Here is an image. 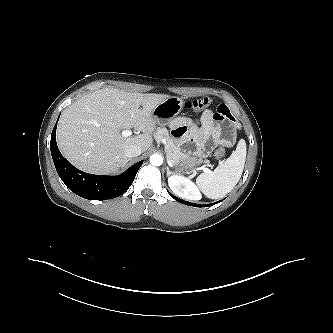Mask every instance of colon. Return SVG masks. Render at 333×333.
Wrapping results in <instances>:
<instances>
[{"instance_id":"5ec220e1","label":"colon","mask_w":333,"mask_h":333,"mask_svg":"<svg viewBox=\"0 0 333 333\" xmlns=\"http://www.w3.org/2000/svg\"><path fill=\"white\" fill-rule=\"evenodd\" d=\"M211 103H212V101L209 97L202 96V97H198V98L188 101L186 103V107L191 110L199 111V110L209 107L211 105ZM225 155H226V151L224 148H219L214 152V157L217 160L223 159L225 157Z\"/></svg>"}]
</instances>
